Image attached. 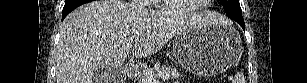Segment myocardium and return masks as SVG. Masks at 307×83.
I'll return each mask as SVG.
<instances>
[{"mask_svg": "<svg viewBox=\"0 0 307 83\" xmlns=\"http://www.w3.org/2000/svg\"><path fill=\"white\" fill-rule=\"evenodd\" d=\"M208 2L209 1H204V3H208ZM204 6L205 5H203V4H198V5L190 8V9L182 10V9H178L177 7H175L174 0H166V1H164V7L170 8L171 11L174 14H177V15H189V14L196 13V12L200 11L201 9H203Z\"/></svg>", "mask_w": 307, "mask_h": 83, "instance_id": "1", "label": "myocardium"}]
</instances>
